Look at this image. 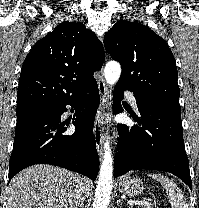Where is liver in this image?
Returning <instances> with one entry per match:
<instances>
[{"label":"liver","mask_w":199,"mask_h":208,"mask_svg":"<svg viewBox=\"0 0 199 208\" xmlns=\"http://www.w3.org/2000/svg\"><path fill=\"white\" fill-rule=\"evenodd\" d=\"M78 183L88 197L92 187L88 178L52 165L30 166L11 180L7 208H68Z\"/></svg>","instance_id":"obj_1"}]
</instances>
